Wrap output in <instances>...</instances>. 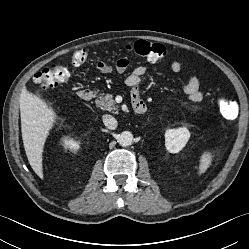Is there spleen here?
Listing matches in <instances>:
<instances>
[{
  "mask_svg": "<svg viewBox=\"0 0 249 249\" xmlns=\"http://www.w3.org/2000/svg\"><path fill=\"white\" fill-rule=\"evenodd\" d=\"M212 157L213 156L209 151L203 152V154L200 157V164L198 168L199 175L203 174L208 169V167L211 164Z\"/></svg>",
  "mask_w": 249,
  "mask_h": 249,
  "instance_id": "1",
  "label": "spleen"
}]
</instances>
